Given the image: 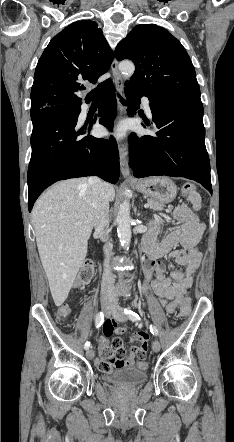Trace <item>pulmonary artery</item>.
<instances>
[{
  "mask_svg": "<svg viewBox=\"0 0 234 442\" xmlns=\"http://www.w3.org/2000/svg\"><path fill=\"white\" fill-rule=\"evenodd\" d=\"M142 105H143V108H144L146 114L151 118L152 117V112H151L149 100L147 98H143L142 99Z\"/></svg>",
  "mask_w": 234,
  "mask_h": 442,
  "instance_id": "pulmonary-artery-1",
  "label": "pulmonary artery"
}]
</instances>
